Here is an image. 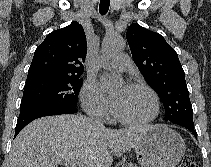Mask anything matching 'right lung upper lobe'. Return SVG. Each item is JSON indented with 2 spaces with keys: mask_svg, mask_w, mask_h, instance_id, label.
Segmentation results:
<instances>
[{
  "mask_svg": "<svg viewBox=\"0 0 211 167\" xmlns=\"http://www.w3.org/2000/svg\"><path fill=\"white\" fill-rule=\"evenodd\" d=\"M87 52L82 25L73 21L69 26L48 34L35 50L27 80L43 77L80 76Z\"/></svg>",
  "mask_w": 211,
  "mask_h": 167,
  "instance_id": "obj_1",
  "label": "right lung upper lobe"
}]
</instances>
